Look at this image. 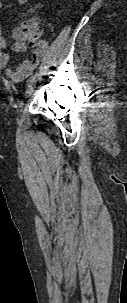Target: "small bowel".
I'll list each match as a JSON object with an SVG mask.
<instances>
[{"label": "small bowel", "instance_id": "c3829d8e", "mask_svg": "<svg viewBox=\"0 0 127 303\" xmlns=\"http://www.w3.org/2000/svg\"><path fill=\"white\" fill-rule=\"evenodd\" d=\"M29 0H16V6H22L26 4ZM3 4L0 0V11L2 10ZM13 37L15 43L13 45V50L15 52H24L27 48L26 43L21 35V29L16 27L13 30ZM7 40L2 32L0 25V68L4 69L5 76L13 83H21L25 80L38 66L42 58L45 56L48 44L46 41H41L34 46L31 58L25 59L16 68L9 67L10 55L4 50L7 48Z\"/></svg>", "mask_w": 127, "mask_h": 303}]
</instances>
